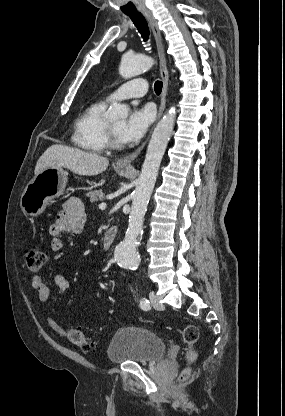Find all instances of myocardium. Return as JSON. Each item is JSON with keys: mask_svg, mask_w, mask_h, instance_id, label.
Returning <instances> with one entry per match:
<instances>
[{"mask_svg": "<svg viewBox=\"0 0 285 416\" xmlns=\"http://www.w3.org/2000/svg\"><path fill=\"white\" fill-rule=\"evenodd\" d=\"M105 135H106V142H107L108 148L114 149V150L121 149L122 147L121 141L116 137V135L112 131L108 122H106L105 124Z\"/></svg>", "mask_w": 285, "mask_h": 416, "instance_id": "obj_1", "label": "myocardium"}]
</instances>
